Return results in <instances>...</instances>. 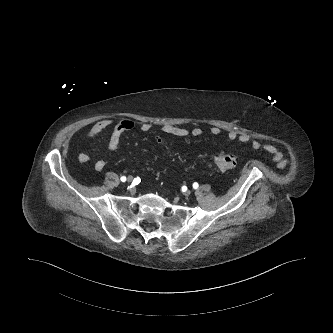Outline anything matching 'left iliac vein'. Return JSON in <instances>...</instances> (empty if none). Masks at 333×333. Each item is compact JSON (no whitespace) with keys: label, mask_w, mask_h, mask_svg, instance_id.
Masks as SVG:
<instances>
[{"label":"left iliac vein","mask_w":333,"mask_h":333,"mask_svg":"<svg viewBox=\"0 0 333 333\" xmlns=\"http://www.w3.org/2000/svg\"><path fill=\"white\" fill-rule=\"evenodd\" d=\"M190 194H191V191H190V190H186V191H184V193H183L184 196H190Z\"/></svg>","instance_id":"1"}]
</instances>
